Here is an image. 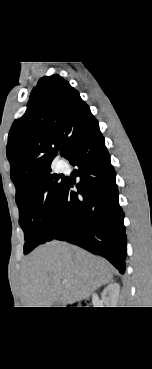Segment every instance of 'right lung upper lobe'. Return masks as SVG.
<instances>
[{"mask_svg":"<svg viewBox=\"0 0 152 369\" xmlns=\"http://www.w3.org/2000/svg\"><path fill=\"white\" fill-rule=\"evenodd\" d=\"M99 129L88 105L61 76L39 80L25 114L15 120L8 136L7 157L16 197L51 171L60 154L69 159L76 147Z\"/></svg>","mask_w":152,"mask_h":369,"instance_id":"obj_1","label":"right lung upper lobe"}]
</instances>
